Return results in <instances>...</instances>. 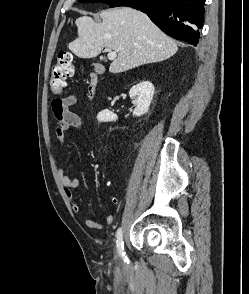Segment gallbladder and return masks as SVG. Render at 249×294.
<instances>
[{"label":"gallbladder","mask_w":249,"mask_h":294,"mask_svg":"<svg viewBox=\"0 0 249 294\" xmlns=\"http://www.w3.org/2000/svg\"><path fill=\"white\" fill-rule=\"evenodd\" d=\"M94 66V70L98 73V74H102L104 72V67L101 66L100 64H93Z\"/></svg>","instance_id":"bac80fb5"}]
</instances>
